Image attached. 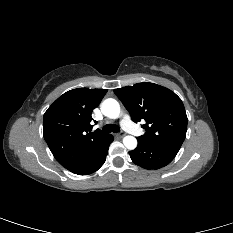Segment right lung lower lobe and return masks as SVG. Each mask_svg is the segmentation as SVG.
<instances>
[{
  "instance_id": "98d812e1",
  "label": "right lung lower lobe",
  "mask_w": 233,
  "mask_h": 233,
  "mask_svg": "<svg viewBox=\"0 0 233 233\" xmlns=\"http://www.w3.org/2000/svg\"><path fill=\"white\" fill-rule=\"evenodd\" d=\"M113 141V136L108 137L91 153V155L71 172L78 175H88L97 171L105 162L108 147Z\"/></svg>"
}]
</instances>
